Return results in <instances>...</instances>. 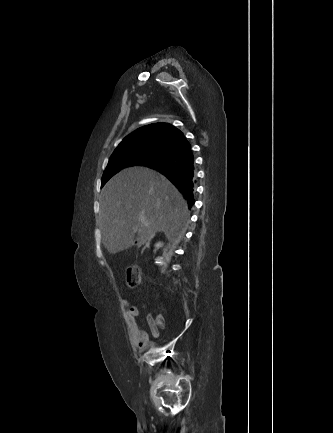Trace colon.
Wrapping results in <instances>:
<instances>
[{
	"label": "colon",
	"mask_w": 333,
	"mask_h": 433,
	"mask_svg": "<svg viewBox=\"0 0 333 433\" xmlns=\"http://www.w3.org/2000/svg\"><path fill=\"white\" fill-rule=\"evenodd\" d=\"M126 282L129 287L135 288L142 283V273L137 265H130L126 269ZM157 324H162V319L157 317L153 320Z\"/></svg>",
	"instance_id": "1"
}]
</instances>
